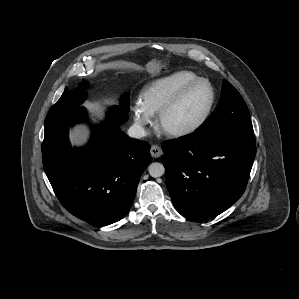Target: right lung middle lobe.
<instances>
[{
  "label": "right lung middle lobe",
  "mask_w": 299,
  "mask_h": 299,
  "mask_svg": "<svg viewBox=\"0 0 299 299\" xmlns=\"http://www.w3.org/2000/svg\"><path fill=\"white\" fill-rule=\"evenodd\" d=\"M88 83L84 82L80 84V87L75 90L69 91L65 88L61 98L50 108L48 114L66 113L79 107L78 105L83 102L86 97V92L83 91L87 87ZM121 107L129 111V94H124L121 99Z\"/></svg>",
  "instance_id": "right-lung-middle-lobe-1"
}]
</instances>
